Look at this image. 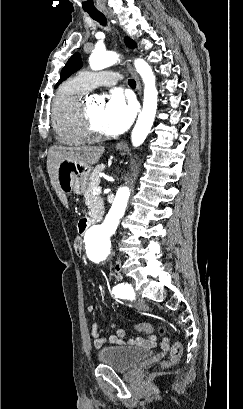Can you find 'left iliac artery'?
<instances>
[{"mask_svg": "<svg viewBox=\"0 0 243 409\" xmlns=\"http://www.w3.org/2000/svg\"><path fill=\"white\" fill-rule=\"evenodd\" d=\"M112 292L115 294L116 297L128 299H133L135 295L131 286L124 283L114 286Z\"/></svg>", "mask_w": 243, "mask_h": 409, "instance_id": "left-iliac-artery-1", "label": "left iliac artery"}]
</instances>
